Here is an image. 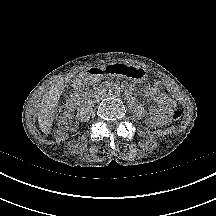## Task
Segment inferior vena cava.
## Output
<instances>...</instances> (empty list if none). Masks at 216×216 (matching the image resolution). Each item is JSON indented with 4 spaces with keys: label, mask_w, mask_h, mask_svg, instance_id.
Returning <instances> with one entry per match:
<instances>
[{
    "label": "inferior vena cava",
    "mask_w": 216,
    "mask_h": 216,
    "mask_svg": "<svg viewBox=\"0 0 216 216\" xmlns=\"http://www.w3.org/2000/svg\"><path fill=\"white\" fill-rule=\"evenodd\" d=\"M103 97H104V96H103V95H101V96H100V99H102Z\"/></svg>",
    "instance_id": "602c4592"
}]
</instances>
